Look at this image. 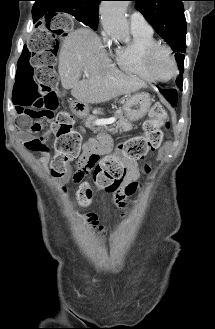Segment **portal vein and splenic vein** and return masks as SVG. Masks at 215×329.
<instances>
[{"label": "portal vein and splenic vein", "mask_w": 215, "mask_h": 329, "mask_svg": "<svg viewBox=\"0 0 215 329\" xmlns=\"http://www.w3.org/2000/svg\"><path fill=\"white\" fill-rule=\"evenodd\" d=\"M84 72V75L85 76H88V73L86 70H83ZM116 121V118L115 117H111V118H108V119H97L94 121V124L95 125H108V124H112Z\"/></svg>", "instance_id": "portal-vein-and-splenic-vein-1"}]
</instances>
